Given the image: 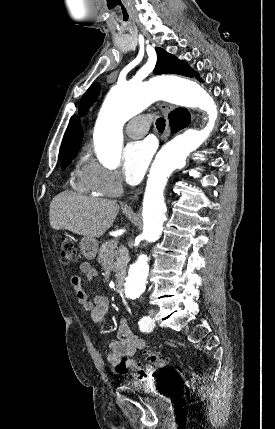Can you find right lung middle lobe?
I'll list each match as a JSON object with an SVG mask.
<instances>
[{
  "mask_svg": "<svg viewBox=\"0 0 275 429\" xmlns=\"http://www.w3.org/2000/svg\"><path fill=\"white\" fill-rule=\"evenodd\" d=\"M76 154L64 156L61 158V169L64 170L68 166Z\"/></svg>",
  "mask_w": 275,
  "mask_h": 429,
  "instance_id": "right-lung-middle-lobe-1",
  "label": "right lung middle lobe"
}]
</instances>
